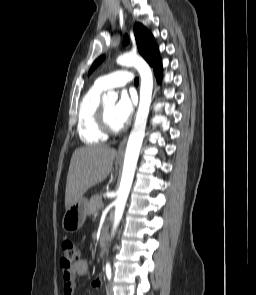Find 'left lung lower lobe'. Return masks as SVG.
Listing matches in <instances>:
<instances>
[{"mask_svg":"<svg viewBox=\"0 0 256 295\" xmlns=\"http://www.w3.org/2000/svg\"><path fill=\"white\" fill-rule=\"evenodd\" d=\"M154 73L156 75L157 81L159 82L161 79V74H162V66L161 65H157L154 66Z\"/></svg>","mask_w":256,"mask_h":295,"instance_id":"1","label":"left lung lower lobe"}]
</instances>
